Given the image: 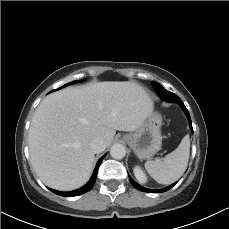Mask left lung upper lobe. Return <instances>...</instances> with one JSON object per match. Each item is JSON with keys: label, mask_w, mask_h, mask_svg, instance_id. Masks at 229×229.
<instances>
[{"label": "left lung upper lobe", "mask_w": 229, "mask_h": 229, "mask_svg": "<svg viewBox=\"0 0 229 229\" xmlns=\"http://www.w3.org/2000/svg\"><path fill=\"white\" fill-rule=\"evenodd\" d=\"M152 85L154 86V88L156 89V91L158 92L159 96L166 100V101H170V102H176L178 103L181 99L175 95L174 93L164 89L159 83L153 81Z\"/></svg>", "instance_id": "5c2ea615"}]
</instances>
